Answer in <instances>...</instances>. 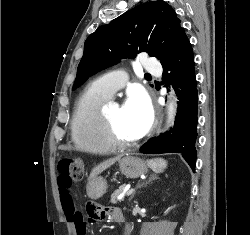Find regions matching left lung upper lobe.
Returning <instances> with one entry per match:
<instances>
[{
    "mask_svg": "<svg viewBox=\"0 0 250 235\" xmlns=\"http://www.w3.org/2000/svg\"><path fill=\"white\" fill-rule=\"evenodd\" d=\"M180 22L170 5L154 1L138 5L98 27L85 41L73 90L96 72L141 52L163 61L183 29Z\"/></svg>",
    "mask_w": 250,
    "mask_h": 235,
    "instance_id": "obj_1",
    "label": "left lung upper lobe"
}]
</instances>
